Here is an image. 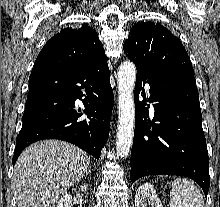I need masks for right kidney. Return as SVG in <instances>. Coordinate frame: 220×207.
<instances>
[{"label":"right kidney","instance_id":"obj_1","mask_svg":"<svg viewBox=\"0 0 220 207\" xmlns=\"http://www.w3.org/2000/svg\"><path fill=\"white\" fill-rule=\"evenodd\" d=\"M87 189H88L87 184H83L80 186V190L82 192H86ZM56 207H72V200H71L70 194H68V193L63 194V196L61 197V199L57 203Z\"/></svg>","mask_w":220,"mask_h":207}]
</instances>
